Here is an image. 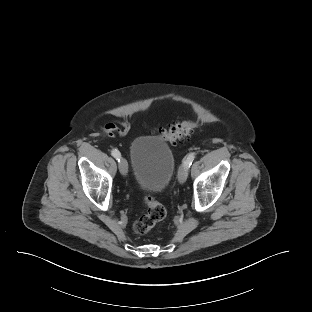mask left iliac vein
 Returning a JSON list of instances; mask_svg holds the SVG:
<instances>
[{
	"instance_id": "4c4485c4",
	"label": "left iliac vein",
	"mask_w": 312,
	"mask_h": 312,
	"mask_svg": "<svg viewBox=\"0 0 312 312\" xmlns=\"http://www.w3.org/2000/svg\"><path fill=\"white\" fill-rule=\"evenodd\" d=\"M188 176V167L186 165H181L178 170V181L179 183L183 184Z\"/></svg>"
}]
</instances>
